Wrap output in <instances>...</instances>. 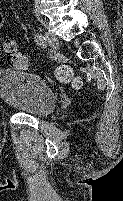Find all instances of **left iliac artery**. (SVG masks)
<instances>
[{
    "label": "left iliac artery",
    "mask_w": 123,
    "mask_h": 201,
    "mask_svg": "<svg viewBox=\"0 0 123 201\" xmlns=\"http://www.w3.org/2000/svg\"><path fill=\"white\" fill-rule=\"evenodd\" d=\"M34 40L38 45H44L45 38L41 34H36Z\"/></svg>",
    "instance_id": "obj_1"
}]
</instances>
